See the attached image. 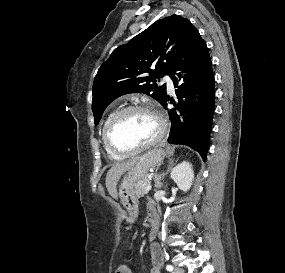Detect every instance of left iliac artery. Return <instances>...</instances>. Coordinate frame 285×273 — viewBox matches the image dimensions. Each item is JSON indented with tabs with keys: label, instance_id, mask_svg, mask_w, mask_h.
Listing matches in <instances>:
<instances>
[{
	"label": "left iliac artery",
	"instance_id": "obj_1",
	"mask_svg": "<svg viewBox=\"0 0 285 273\" xmlns=\"http://www.w3.org/2000/svg\"><path fill=\"white\" fill-rule=\"evenodd\" d=\"M167 271H173V266L172 265H167L166 266Z\"/></svg>",
	"mask_w": 285,
	"mask_h": 273
}]
</instances>
